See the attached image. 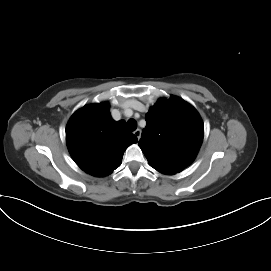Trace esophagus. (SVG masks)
<instances>
[{
    "label": "esophagus",
    "instance_id": "esophagus-1",
    "mask_svg": "<svg viewBox=\"0 0 271 271\" xmlns=\"http://www.w3.org/2000/svg\"><path fill=\"white\" fill-rule=\"evenodd\" d=\"M134 135L137 137V139L139 140L140 139V137H141V130L140 129H136L135 131H134Z\"/></svg>",
    "mask_w": 271,
    "mask_h": 271
}]
</instances>
